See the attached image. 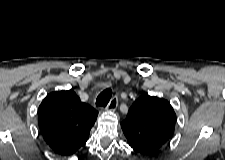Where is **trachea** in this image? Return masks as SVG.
Instances as JSON below:
<instances>
[{
  "label": "trachea",
  "mask_w": 225,
  "mask_h": 160,
  "mask_svg": "<svg viewBox=\"0 0 225 160\" xmlns=\"http://www.w3.org/2000/svg\"><path fill=\"white\" fill-rule=\"evenodd\" d=\"M111 96H112L111 89L110 88L105 89L98 95L96 99V105L101 107H106V105L111 99Z\"/></svg>",
  "instance_id": "3493384b"
}]
</instances>
